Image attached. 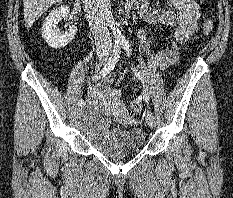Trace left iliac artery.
<instances>
[{"label": "left iliac artery", "instance_id": "obj_1", "mask_svg": "<svg viewBox=\"0 0 233 198\" xmlns=\"http://www.w3.org/2000/svg\"><path fill=\"white\" fill-rule=\"evenodd\" d=\"M121 45H122V48L124 49V51L126 52L127 56L130 57L131 53H130V44L128 42V40H122L121 41ZM132 67V70L135 74V76L143 83V87H144V90H143V96H144V99L148 105L149 103V93H148V90L147 88L145 87L144 85V74L139 71L138 69H136L133 65L131 66ZM147 115H150V116H153L152 112L149 110L148 111V114Z\"/></svg>", "mask_w": 233, "mask_h": 198}]
</instances>
